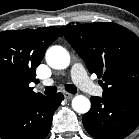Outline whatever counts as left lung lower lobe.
<instances>
[{
    "instance_id": "1",
    "label": "left lung lower lobe",
    "mask_w": 139,
    "mask_h": 139,
    "mask_svg": "<svg viewBox=\"0 0 139 139\" xmlns=\"http://www.w3.org/2000/svg\"><path fill=\"white\" fill-rule=\"evenodd\" d=\"M91 104L82 121L96 139H123L139 125V91L110 99L92 96Z\"/></svg>"
}]
</instances>
